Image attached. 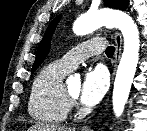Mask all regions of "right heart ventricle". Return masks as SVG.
Listing matches in <instances>:
<instances>
[{
  "label": "right heart ventricle",
  "instance_id": "1",
  "mask_svg": "<svg viewBox=\"0 0 147 131\" xmlns=\"http://www.w3.org/2000/svg\"><path fill=\"white\" fill-rule=\"evenodd\" d=\"M69 71L55 61L36 75L28 101V113L35 121L58 124L67 118L70 104L64 94L63 78Z\"/></svg>",
  "mask_w": 147,
  "mask_h": 131
}]
</instances>
